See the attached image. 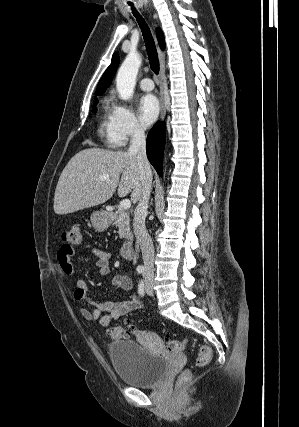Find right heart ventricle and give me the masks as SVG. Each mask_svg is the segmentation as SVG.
Wrapping results in <instances>:
<instances>
[{"label":"right heart ventricle","instance_id":"e07e8e85","mask_svg":"<svg viewBox=\"0 0 299 427\" xmlns=\"http://www.w3.org/2000/svg\"><path fill=\"white\" fill-rule=\"evenodd\" d=\"M110 129V107L107 102L103 105V112L100 120V133L106 139L107 143L112 145L113 142L109 136Z\"/></svg>","mask_w":299,"mask_h":427}]
</instances>
